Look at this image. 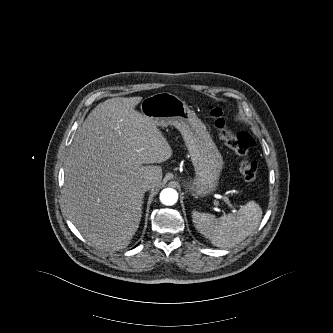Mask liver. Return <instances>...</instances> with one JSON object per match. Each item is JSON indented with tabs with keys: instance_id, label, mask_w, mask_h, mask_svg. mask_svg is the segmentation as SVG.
Here are the masks:
<instances>
[{
	"instance_id": "liver-1",
	"label": "liver",
	"mask_w": 333,
	"mask_h": 333,
	"mask_svg": "<svg viewBox=\"0 0 333 333\" xmlns=\"http://www.w3.org/2000/svg\"><path fill=\"white\" fill-rule=\"evenodd\" d=\"M142 97H117L97 105L69 148L64 209L95 247H127L141 216L143 183L158 187L172 149L156 124L134 110ZM147 164V165H145Z\"/></svg>"
}]
</instances>
